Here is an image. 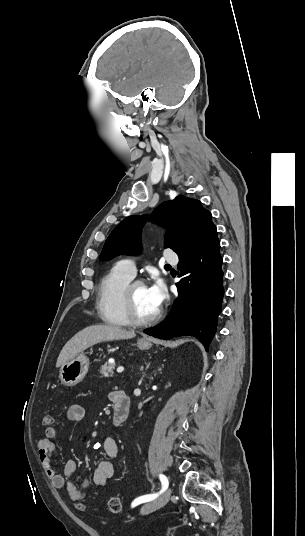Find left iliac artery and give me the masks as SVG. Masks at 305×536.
I'll list each match as a JSON object with an SVG mask.
<instances>
[{
    "mask_svg": "<svg viewBox=\"0 0 305 536\" xmlns=\"http://www.w3.org/2000/svg\"><path fill=\"white\" fill-rule=\"evenodd\" d=\"M159 478H160V481H161V484H162V490L160 491V493H162L163 491H165L167 488H168V485H169V482H168V479L165 475L163 474H160L159 475ZM159 494H149V495H144V496H141V497H138L137 499H135L132 503V506H136L140 503H144V502H149L151 500H154Z\"/></svg>",
    "mask_w": 305,
    "mask_h": 536,
    "instance_id": "left-iliac-artery-1",
    "label": "left iliac artery"
}]
</instances>
